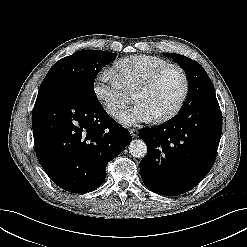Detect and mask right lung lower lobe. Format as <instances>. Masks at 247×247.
Instances as JSON below:
<instances>
[{
  "mask_svg": "<svg viewBox=\"0 0 247 247\" xmlns=\"http://www.w3.org/2000/svg\"><path fill=\"white\" fill-rule=\"evenodd\" d=\"M32 127L40 165L56 185L74 193L102 185L108 162L131 141L129 131L74 84L39 89Z\"/></svg>",
  "mask_w": 247,
  "mask_h": 247,
  "instance_id": "right-lung-lower-lobe-1",
  "label": "right lung lower lobe"
}]
</instances>
